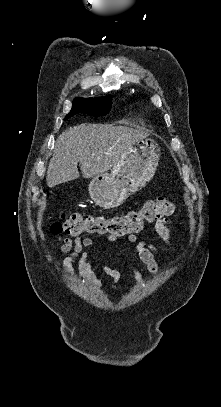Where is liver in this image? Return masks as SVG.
I'll return each instance as SVG.
<instances>
[{
    "label": "liver",
    "instance_id": "1",
    "mask_svg": "<svg viewBox=\"0 0 221 407\" xmlns=\"http://www.w3.org/2000/svg\"><path fill=\"white\" fill-rule=\"evenodd\" d=\"M143 129L110 124H80L62 132L55 143L46 182L52 188L79 177L111 170L137 141L148 137Z\"/></svg>",
    "mask_w": 221,
    "mask_h": 407
}]
</instances>
